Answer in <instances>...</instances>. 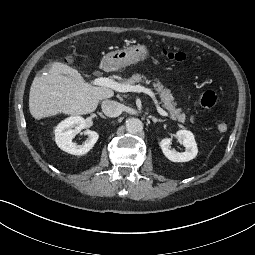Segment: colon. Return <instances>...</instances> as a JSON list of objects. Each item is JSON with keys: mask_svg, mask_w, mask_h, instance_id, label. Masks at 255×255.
Returning <instances> with one entry per match:
<instances>
[{"mask_svg": "<svg viewBox=\"0 0 255 255\" xmlns=\"http://www.w3.org/2000/svg\"><path fill=\"white\" fill-rule=\"evenodd\" d=\"M163 54L166 58L173 61L182 62L187 59V54L184 52H174L163 49ZM200 103L203 108L211 110L214 109L218 104V96L212 90H204L200 95ZM218 131L224 133L228 130V123L225 120H221L218 123Z\"/></svg>", "mask_w": 255, "mask_h": 255, "instance_id": "5ec220e1", "label": "colon"}]
</instances>
